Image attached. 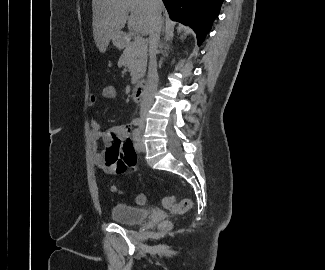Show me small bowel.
<instances>
[{
  "instance_id": "small-bowel-1",
  "label": "small bowel",
  "mask_w": 325,
  "mask_h": 270,
  "mask_svg": "<svg viewBox=\"0 0 325 270\" xmlns=\"http://www.w3.org/2000/svg\"><path fill=\"white\" fill-rule=\"evenodd\" d=\"M98 99L95 95L88 97V105H96ZM90 133L93 161L102 172L115 175L125 172L128 168H134L136 153L131 144V125H114L102 130L95 119L90 120ZM104 146L99 150V144Z\"/></svg>"
}]
</instances>
